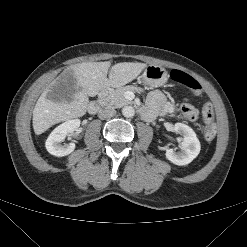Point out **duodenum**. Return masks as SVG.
I'll use <instances>...</instances> for the list:
<instances>
[{
    "instance_id": "duodenum-1",
    "label": "duodenum",
    "mask_w": 247,
    "mask_h": 247,
    "mask_svg": "<svg viewBox=\"0 0 247 247\" xmlns=\"http://www.w3.org/2000/svg\"><path fill=\"white\" fill-rule=\"evenodd\" d=\"M112 87L110 84H105L96 100H93L87 107L89 114H96L103 106V102L107 98L109 92L111 91Z\"/></svg>"
}]
</instances>
